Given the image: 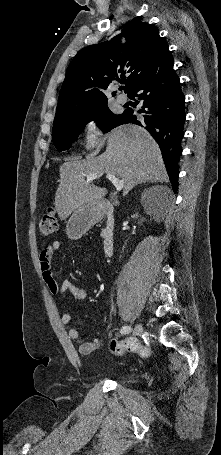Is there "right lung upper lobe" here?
<instances>
[{"label":"right lung upper lobe","mask_w":221,"mask_h":455,"mask_svg":"<svg viewBox=\"0 0 221 455\" xmlns=\"http://www.w3.org/2000/svg\"><path fill=\"white\" fill-rule=\"evenodd\" d=\"M122 31L110 41L81 49L72 60L59 94L54 122L106 102L104 91L113 80H124V91L129 95L168 50L158 29L148 23L131 21ZM123 35L125 44L120 43Z\"/></svg>","instance_id":"cb5924a9"}]
</instances>
